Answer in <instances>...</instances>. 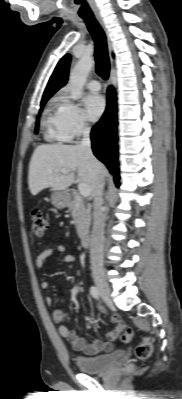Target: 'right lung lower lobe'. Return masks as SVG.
<instances>
[{
	"instance_id": "98d812e1",
	"label": "right lung lower lobe",
	"mask_w": 182,
	"mask_h": 399,
	"mask_svg": "<svg viewBox=\"0 0 182 399\" xmlns=\"http://www.w3.org/2000/svg\"><path fill=\"white\" fill-rule=\"evenodd\" d=\"M107 100L108 105L104 115L91 131L92 149L110 173L115 175V183L119 186L116 93L112 86L108 88Z\"/></svg>"
}]
</instances>
